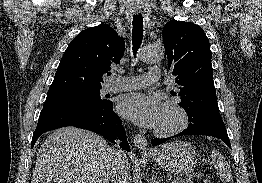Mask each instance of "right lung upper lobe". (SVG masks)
Masks as SVG:
<instances>
[{
	"instance_id": "obj_1",
	"label": "right lung upper lobe",
	"mask_w": 262,
	"mask_h": 183,
	"mask_svg": "<svg viewBox=\"0 0 262 183\" xmlns=\"http://www.w3.org/2000/svg\"><path fill=\"white\" fill-rule=\"evenodd\" d=\"M124 47L109 25L85 29L67 47L48 92L101 88L103 74L120 62Z\"/></svg>"
}]
</instances>
